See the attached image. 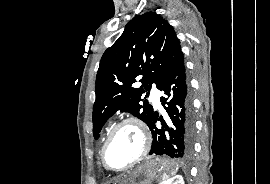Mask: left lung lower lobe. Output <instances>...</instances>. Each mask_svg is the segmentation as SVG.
Segmentation results:
<instances>
[{
  "label": "left lung lower lobe",
  "instance_id": "0a47b994",
  "mask_svg": "<svg viewBox=\"0 0 270 184\" xmlns=\"http://www.w3.org/2000/svg\"><path fill=\"white\" fill-rule=\"evenodd\" d=\"M158 89L164 92L160 100L167 115L164 120L153 113L148 125L153 137L149 154L187 161L193 154L195 122L182 51L171 64ZM157 118L162 124L160 129L155 125Z\"/></svg>",
  "mask_w": 270,
  "mask_h": 184
}]
</instances>
